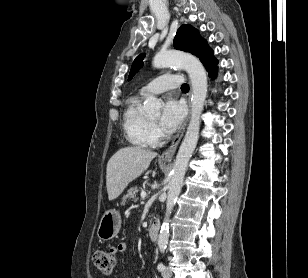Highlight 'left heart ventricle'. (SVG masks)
Returning a JSON list of instances; mask_svg holds the SVG:
<instances>
[{
	"instance_id": "1",
	"label": "left heart ventricle",
	"mask_w": 308,
	"mask_h": 278,
	"mask_svg": "<svg viewBox=\"0 0 308 278\" xmlns=\"http://www.w3.org/2000/svg\"><path fill=\"white\" fill-rule=\"evenodd\" d=\"M152 120H156V117L152 118Z\"/></svg>"
}]
</instances>
